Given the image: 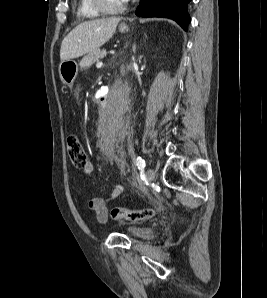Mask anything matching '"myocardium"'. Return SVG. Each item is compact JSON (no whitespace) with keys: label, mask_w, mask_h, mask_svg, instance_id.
<instances>
[{"label":"myocardium","mask_w":267,"mask_h":298,"mask_svg":"<svg viewBox=\"0 0 267 298\" xmlns=\"http://www.w3.org/2000/svg\"><path fill=\"white\" fill-rule=\"evenodd\" d=\"M95 8L101 13L106 15L118 14L125 10L126 4L123 3L119 7H110L106 0H92Z\"/></svg>","instance_id":"f54148a6"}]
</instances>
